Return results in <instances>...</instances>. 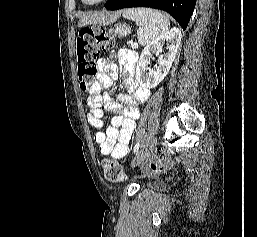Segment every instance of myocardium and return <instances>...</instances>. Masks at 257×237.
Returning <instances> with one entry per match:
<instances>
[{
	"instance_id": "1",
	"label": "myocardium",
	"mask_w": 257,
	"mask_h": 237,
	"mask_svg": "<svg viewBox=\"0 0 257 237\" xmlns=\"http://www.w3.org/2000/svg\"><path fill=\"white\" fill-rule=\"evenodd\" d=\"M109 0H96V1H93V2H87L86 0H82V2L85 4V5H88V6H94V5H99L101 3H105Z\"/></svg>"
}]
</instances>
